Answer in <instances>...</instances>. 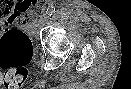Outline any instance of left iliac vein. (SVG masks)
<instances>
[{
  "label": "left iliac vein",
  "mask_w": 131,
  "mask_h": 89,
  "mask_svg": "<svg viewBox=\"0 0 131 89\" xmlns=\"http://www.w3.org/2000/svg\"><path fill=\"white\" fill-rule=\"evenodd\" d=\"M47 20V17L46 16H42L39 20V26L43 25Z\"/></svg>",
  "instance_id": "1"
}]
</instances>
